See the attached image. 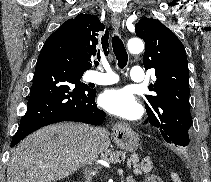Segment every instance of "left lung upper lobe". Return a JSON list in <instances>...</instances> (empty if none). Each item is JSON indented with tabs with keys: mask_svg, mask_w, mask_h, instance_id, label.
Listing matches in <instances>:
<instances>
[{
	"mask_svg": "<svg viewBox=\"0 0 211 182\" xmlns=\"http://www.w3.org/2000/svg\"><path fill=\"white\" fill-rule=\"evenodd\" d=\"M135 30L145 42V69L156 70L157 80L149 86L155 95H146L145 102L149 122L159 128L166 142L191 149L192 118L185 48L159 20L143 18L136 23Z\"/></svg>",
	"mask_w": 211,
	"mask_h": 182,
	"instance_id": "1",
	"label": "left lung upper lobe"
}]
</instances>
